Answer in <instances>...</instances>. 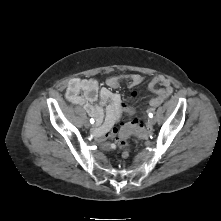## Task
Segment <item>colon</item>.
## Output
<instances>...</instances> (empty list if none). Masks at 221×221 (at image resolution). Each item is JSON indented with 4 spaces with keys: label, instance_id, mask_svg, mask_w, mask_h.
<instances>
[{
    "label": "colon",
    "instance_id": "5ec220e1",
    "mask_svg": "<svg viewBox=\"0 0 221 221\" xmlns=\"http://www.w3.org/2000/svg\"><path fill=\"white\" fill-rule=\"evenodd\" d=\"M141 127L142 123H137V120L133 118L129 119L128 122L122 124L121 130H119L117 133L118 139L115 141V143H105L103 144V147L105 149H114L116 147L124 149L123 156H127V142L132 140V133Z\"/></svg>",
    "mask_w": 221,
    "mask_h": 221
}]
</instances>
